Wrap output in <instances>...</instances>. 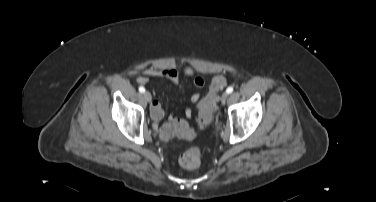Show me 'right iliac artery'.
I'll return each instance as SVG.
<instances>
[{
	"mask_svg": "<svg viewBox=\"0 0 376 202\" xmlns=\"http://www.w3.org/2000/svg\"><path fill=\"white\" fill-rule=\"evenodd\" d=\"M139 92H140V93H144V92H145V88H144L143 86H140V87H139Z\"/></svg>",
	"mask_w": 376,
	"mask_h": 202,
	"instance_id": "82829eb1",
	"label": "right iliac artery"
}]
</instances>
